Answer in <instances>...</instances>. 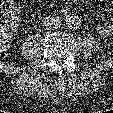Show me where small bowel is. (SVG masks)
<instances>
[{
	"label": "small bowel",
	"mask_w": 113,
	"mask_h": 113,
	"mask_svg": "<svg viewBox=\"0 0 113 113\" xmlns=\"http://www.w3.org/2000/svg\"><path fill=\"white\" fill-rule=\"evenodd\" d=\"M98 1H106V0H98ZM113 3V1H112ZM12 19L15 22H18L20 19V13L17 9L12 8L10 10ZM97 31L100 35L105 36V37H112L113 36V22L110 24H98L97 25Z\"/></svg>",
	"instance_id": "small-bowel-1"
}]
</instances>
